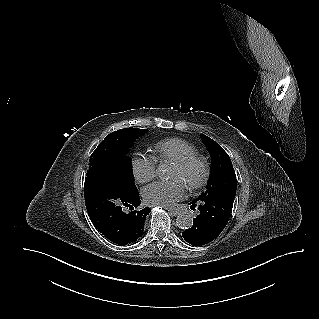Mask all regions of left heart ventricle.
<instances>
[{
  "mask_svg": "<svg viewBox=\"0 0 319 319\" xmlns=\"http://www.w3.org/2000/svg\"><path fill=\"white\" fill-rule=\"evenodd\" d=\"M201 175V167L198 164H193L191 167L185 170H181L172 165L169 173L170 179H180L185 184L196 181Z\"/></svg>",
  "mask_w": 319,
  "mask_h": 319,
  "instance_id": "b2bd125f",
  "label": "left heart ventricle"
}]
</instances>
